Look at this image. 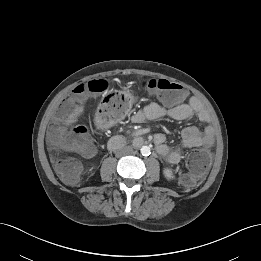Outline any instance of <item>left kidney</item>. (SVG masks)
<instances>
[{
	"instance_id": "left-kidney-1",
	"label": "left kidney",
	"mask_w": 261,
	"mask_h": 261,
	"mask_svg": "<svg viewBox=\"0 0 261 261\" xmlns=\"http://www.w3.org/2000/svg\"><path fill=\"white\" fill-rule=\"evenodd\" d=\"M163 174H164V176L166 177V179H168V180H171V179L174 178L173 172H172V170L169 169V168H164Z\"/></svg>"
}]
</instances>
